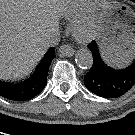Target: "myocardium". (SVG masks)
<instances>
[{
    "label": "myocardium",
    "instance_id": "f54148a6",
    "mask_svg": "<svg viewBox=\"0 0 135 135\" xmlns=\"http://www.w3.org/2000/svg\"><path fill=\"white\" fill-rule=\"evenodd\" d=\"M97 29V15L91 8L88 13L78 18L72 27L73 35L77 40H87L93 37Z\"/></svg>",
    "mask_w": 135,
    "mask_h": 135
}]
</instances>
